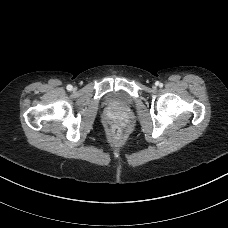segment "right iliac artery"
Returning <instances> with one entry per match:
<instances>
[{
  "label": "right iliac artery",
  "instance_id": "82829eb1",
  "mask_svg": "<svg viewBox=\"0 0 228 228\" xmlns=\"http://www.w3.org/2000/svg\"><path fill=\"white\" fill-rule=\"evenodd\" d=\"M72 88H73L72 85H68V86H67V90H68V91H71Z\"/></svg>",
  "mask_w": 228,
  "mask_h": 228
}]
</instances>
